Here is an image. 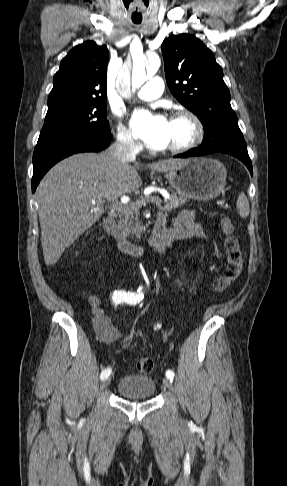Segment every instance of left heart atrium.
<instances>
[{
	"instance_id": "1",
	"label": "left heart atrium",
	"mask_w": 287,
	"mask_h": 486,
	"mask_svg": "<svg viewBox=\"0 0 287 486\" xmlns=\"http://www.w3.org/2000/svg\"><path fill=\"white\" fill-rule=\"evenodd\" d=\"M130 125L135 136L147 147L157 150L166 148L169 120L165 116L147 110H137L131 117Z\"/></svg>"
}]
</instances>
